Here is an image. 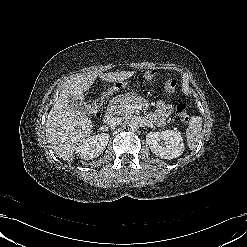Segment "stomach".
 Returning a JSON list of instances; mask_svg holds the SVG:
<instances>
[{
	"label": "stomach",
	"instance_id": "1",
	"mask_svg": "<svg viewBox=\"0 0 247 247\" xmlns=\"http://www.w3.org/2000/svg\"><path fill=\"white\" fill-rule=\"evenodd\" d=\"M125 86V84H123V87ZM127 95H130L129 93Z\"/></svg>",
	"mask_w": 247,
	"mask_h": 247
}]
</instances>
